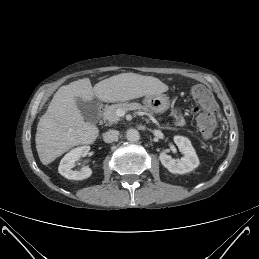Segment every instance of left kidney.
<instances>
[{"label": "left kidney", "mask_w": 259, "mask_h": 259, "mask_svg": "<svg viewBox=\"0 0 259 259\" xmlns=\"http://www.w3.org/2000/svg\"><path fill=\"white\" fill-rule=\"evenodd\" d=\"M174 142L184 157L175 160L163 150L159 155L162 165L174 174H184L198 167L199 159L190 140L183 136H175Z\"/></svg>", "instance_id": "obj_1"}]
</instances>
